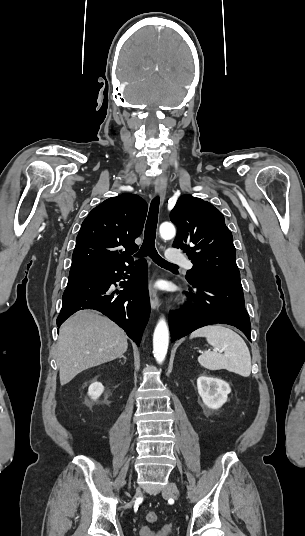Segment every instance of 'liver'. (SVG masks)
I'll use <instances>...</instances> for the list:
<instances>
[{
  "label": "liver",
  "mask_w": 305,
  "mask_h": 536,
  "mask_svg": "<svg viewBox=\"0 0 305 536\" xmlns=\"http://www.w3.org/2000/svg\"><path fill=\"white\" fill-rule=\"evenodd\" d=\"M128 348L124 330L93 310H80L60 328L57 364L60 384L65 386L77 374L121 358Z\"/></svg>",
  "instance_id": "1"
}]
</instances>
